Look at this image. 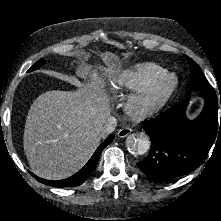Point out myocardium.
<instances>
[{
    "instance_id": "1",
    "label": "myocardium",
    "mask_w": 221,
    "mask_h": 221,
    "mask_svg": "<svg viewBox=\"0 0 221 221\" xmlns=\"http://www.w3.org/2000/svg\"><path fill=\"white\" fill-rule=\"evenodd\" d=\"M177 87V77L167 73L147 88L133 95L128 102V110L134 117L153 115L170 101Z\"/></svg>"
}]
</instances>
